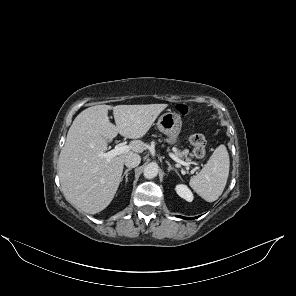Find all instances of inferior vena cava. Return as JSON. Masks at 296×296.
<instances>
[{"label": "inferior vena cava", "mask_w": 296, "mask_h": 296, "mask_svg": "<svg viewBox=\"0 0 296 296\" xmlns=\"http://www.w3.org/2000/svg\"><path fill=\"white\" fill-rule=\"evenodd\" d=\"M141 162V157L138 154H130L125 158V165L128 168H134L138 166Z\"/></svg>", "instance_id": "602c4592"}]
</instances>
